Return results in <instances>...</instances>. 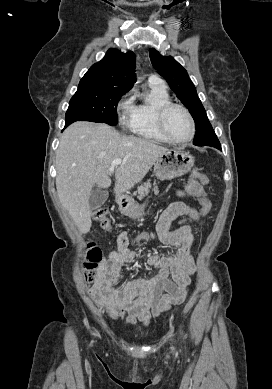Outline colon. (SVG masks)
<instances>
[{"label":"colon","instance_id":"1","mask_svg":"<svg viewBox=\"0 0 272 389\" xmlns=\"http://www.w3.org/2000/svg\"><path fill=\"white\" fill-rule=\"evenodd\" d=\"M208 184L207 176L198 171L193 170L190 179L187 185V189L193 195L197 196L200 200V209L198 210V214L200 216L204 215L210 209V201L206 196L204 191V186ZM95 221H97L102 229H108L110 226V221L107 217V209L105 207L99 208L93 215ZM191 223L189 218H184L179 222L180 227L184 225H188ZM153 234H144L141 236L138 241L145 242L153 239ZM102 258L101 251L99 248L89 245V252L87 255V262L85 263L84 268V279L87 283H92L95 278V270L98 266L99 261Z\"/></svg>","mask_w":272,"mask_h":389}]
</instances>
